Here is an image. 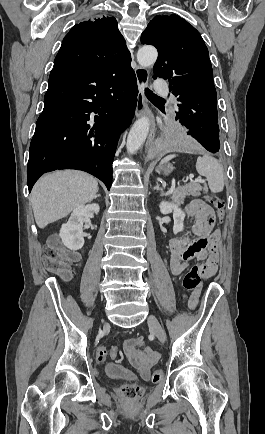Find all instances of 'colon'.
I'll return each mask as SVG.
<instances>
[{
	"mask_svg": "<svg viewBox=\"0 0 265 434\" xmlns=\"http://www.w3.org/2000/svg\"><path fill=\"white\" fill-rule=\"evenodd\" d=\"M211 205L217 212V218L222 220L225 215V202L220 196H213L211 198ZM73 259L70 255H63L60 253V247L55 244H49L44 249V269L52 274L61 276L64 282L69 281L71 277L70 264H72ZM199 264L194 263L189 270L183 275V285L189 291L187 295V301L190 306L191 295L193 293V287L199 286L202 279L200 276ZM108 355V350L106 347H100L96 353V360L98 363L102 364L106 361ZM163 372L161 370H156L153 373V380L158 382L162 377ZM121 391L127 396L126 400L132 403L136 396L141 394L140 385L127 384L121 387Z\"/></svg>",
	"mask_w": 265,
	"mask_h": 434,
	"instance_id": "colon-1",
	"label": "colon"
}]
</instances>
